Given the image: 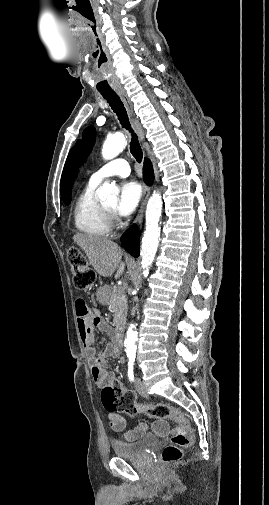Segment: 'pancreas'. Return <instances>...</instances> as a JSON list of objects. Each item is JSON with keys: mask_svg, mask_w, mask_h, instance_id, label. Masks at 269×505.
Listing matches in <instances>:
<instances>
[{"mask_svg": "<svg viewBox=\"0 0 269 505\" xmlns=\"http://www.w3.org/2000/svg\"><path fill=\"white\" fill-rule=\"evenodd\" d=\"M109 307L114 313V324L116 326L124 324L127 316V300L123 288L115 287L112 289Z\"/></svg>", "mask_w": 269, "mask_h": 505, "instance_id": "obj_1", "label": "pancreas"}]
</instances>
